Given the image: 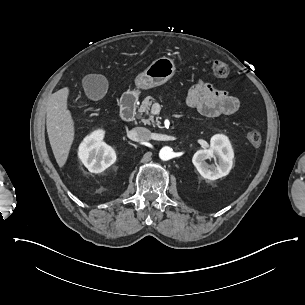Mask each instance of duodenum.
<instances>
[{"mask_svg":"<svg viewBox=\"0 0 305 305\" xmlns=\"http://www.w3.org/2000/svg\"><path fill=\"white\" fill-rule=\"evenodd\" d=\"M138 96L134 92L126 93L120 100V114L124 121H131L135 116Z\"/></svg>","mask_w":305,"mask_h":305,"instance_id":"410a0bca","label":"duodenum"}]
</instances>
